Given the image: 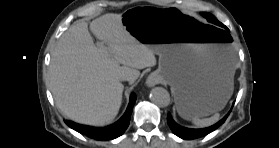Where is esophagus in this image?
<instances>
[{"instance_id":"obj_1","label":"esophagus","mask_w":279,"mask_h":148,"mask_svg":"<svg viewBox=\"0 0 279 148\" xmlns=\"http://www.w3.org/2000/svg\"><path fill=\"white\" fill-rule=\"evenodd\" d=\"M160 83V78L155 74H150L146 79V85L148 87H153Z\"/></svg>"}]
</instances>
